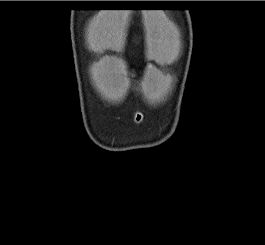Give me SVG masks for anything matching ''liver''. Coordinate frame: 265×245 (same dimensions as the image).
<instances>
[{"mask_svg":"<svg viewBox=\"0 0 265 245\" xmlns=\"http://www.w3.org/2000/svg\"><path fill=\"white\" fill-rule=\"evenodd\" d=\"M90 48L94 51H102L108 47L117 45V41L102 27L94 28L89 34Z\"/></svg>","mask_w":265,"mask_h":245,"instance_id":"liver-1","label":"liver"}]
</instances>
